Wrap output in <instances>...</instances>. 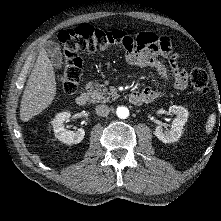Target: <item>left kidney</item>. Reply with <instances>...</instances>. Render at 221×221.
I'll list each match as a JSON object with an SVG mask.
<instances>
[{
	"instance_id": "obj_1",
	"label": "left kidney",
	"mask_w": 221,
	"mask_h": 221,
	"mask_svg": "<svg viewBox=\"0 0 221 221\" xmlns=\"http://www.w3.org/2000/svg\"><path fill=\"white\" fill-rule=\"evenodd\" d=\"M169 112L176 116L172 122L171 129L166 131L161 126H157L154 131L155 136L163 143L177 141L181 137L183 126L188 119V110L182 106H170Z\"/></svg>"
}]
</instances>
